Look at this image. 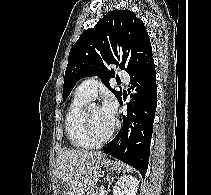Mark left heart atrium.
Returning a JSON list of instances; mask_svg holds the SVG:
<instances>
[{
    "label": "left heart atrium",
    "instance_id": "obj_1",
    "mask_svg": "<svg viewBox=\"0 0 211 195\" xmlns=\"http://www.w3.org/2000/svg\"><path fill=\"white\" fill-rule=\"evenodd\" d=\"M100 109L107 118L115 120L117 104L112 97L106 96Z\"/></svg>",
    "mask_w": 211,
    "mask_h": 195
}]
</instances>
